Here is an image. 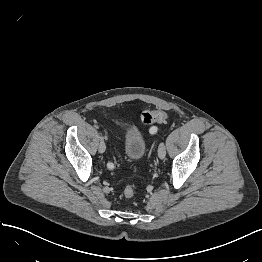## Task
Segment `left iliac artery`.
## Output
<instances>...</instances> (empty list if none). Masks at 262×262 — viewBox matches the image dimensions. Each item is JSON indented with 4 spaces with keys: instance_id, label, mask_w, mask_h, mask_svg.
Segmentation results:
<instances>
[{
    "instance_id": "44dca946",
    "label": "left iliac artery",
    "mask_w": 262,
    "mask_h": 262,
    "mask_svg": "<svg viewBox=\"0 0 262 262\" xmlns=\"http://www.w3.org/2000/svg\"><path fill=\"white\" fill-rule=\"evenodd\" d=\"M151 131H155V132H156V131H157V128H156V127H152V128H151Z\"/></svg>"
}]
</instances>
